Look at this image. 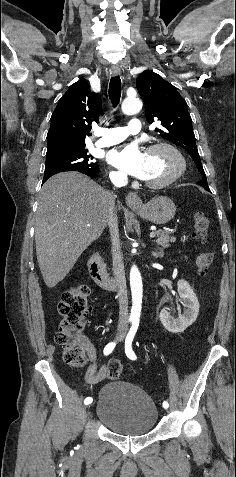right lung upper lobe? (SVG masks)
<instances>
[{
	"mask_svg": "<svg viewBox=\"0 0 236 477\" xmlns=\"http://www.w3.org/2000/svg\"><path fill=\"white\" fill-rule=\"evenodd\" d=\"M101 97L90 91L82 78L72 84L58 102L47 134L46 162L69 156L85 149L92 122L99 121Z\"/></svg>",
	"mask_w": 236,
	"mask_h": 477,
	"instance_id": "obj_1",
	"label": "right lung upper lobe"
}]
</instances>
